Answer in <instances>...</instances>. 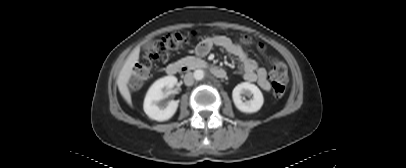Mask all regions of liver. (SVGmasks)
I'll return each mask as SVG.
<instances>
[{
  "label": "liver",
  "mask_w": 406,
  "mask_h": 168,
  "mask_svg": "<svg viewBox=\"0 0 406 168\" xmlns=\"http://www.w3.org/2000/svg\"><path fill=\"white\" fill-rule=\"evenodd\" d=\"M138 59H139V50L134 49L128 56L127 60L125 61L117 78L119 92L130 106H132V101H131V93L128 88V83L132 75L135 63L138 62Z\"/></svg>",
  "instance_id": "1"
}]
</instances>
